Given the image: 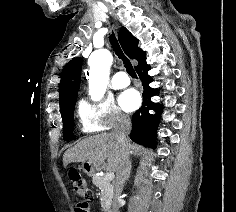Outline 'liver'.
<instances>
[{
    "mask_svg": "<svg viewBox=\"0 0 236 212\" xmlns=\"http://www.w3.org/2000/svg\"><path fill=\"white\" fill-rule=\"evenodd\" d=\"M128 150L129 153L136 155L141 152L142 147L128 141ZM106 159L107 170L116 172L121 160V145L111 133L98 134L81 140L64 153L63 165L67 167L73 162H89L99 168L104 165Z\"/></svg>",
    "mask_w": 236,
    "mask_h": 212,
    "instance_id": "liver-1",
    "label": "liver"
}]
</instances>
